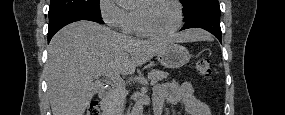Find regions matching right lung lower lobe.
I'll list each match as a JSON object with an SVG mask.
<instances>
[{
    "label": "right lung lower lobe",
    "mask_w": 285,
    "mask_h": 115,
    "mask_svg": "<svg viewBox=\"0 0 285 115\" xmlns=\"http://www.w3.org/2000/svg\"><path fill=\"white\" fill-rule=\"evenodd\" d=\"M79 20H90L100 24H104L101 16L98 15L84 12L64 13L52 19H49L48 42L51 40L53 35L62 27Z\"/></svg>",
    "instance_id": "right-lung-lower-lobe-1"
}]
</instances>
